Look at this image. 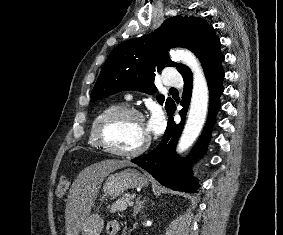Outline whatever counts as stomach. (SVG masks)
<instances>
[{
	"label": "stomach",
	"mask_w": 283,
	"mask_h": 235,
	"mask_svg": "<svg viewBox=\"0 0 283 235\" xmlns=\"http://www.w3.org/2000/svg\"><path fill=\"white\" fill-rule=\"evenodd\" d=\"M148 185V178L133 168L111 173L103 184L102 197L118 196L128 189L142 188ZM104 226L103 219L97 211L89 214L82 226V235H100Z\"/></svg>",
	"instance_id": "stomach-1"
}]
</instances>
